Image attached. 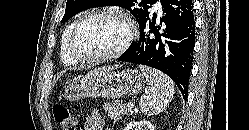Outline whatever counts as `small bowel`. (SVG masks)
I'll use <instances>...</instances> for the list:
<instances>
[{
	"label": "small bowel",
	"mask_w": 249,
	"mask_h": 130,
	"mask_svg": "<svg viewBox=\"0 0 249 130\" xmlns=\"http://www.w3.org/2000/svg\"><path fill=\"white\" fill-rule=\"evenodd\" d=\"M104 120L97 110H93L85 119L84 130H103Z\"/></svg>",
	"instance_id": "c3829d8e"
}]
</instances>
